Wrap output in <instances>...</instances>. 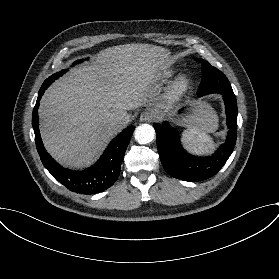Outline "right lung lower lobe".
<instances>
[{
    "label": "right lung lower lobe",
    "instance_id": "1",
    "mask_svg": "<svg viewBox=\"0 0 279 279\" xmlns=\"http://www.w3.org/2000/svg\"><path fill=\"white\" fill-rule=\"evenodd\" d=\"M48 86L49 85L46 84L45 81L40 88L32 114V126L35 133L36 148L43 165L54 178L72 192L90 195L106 190L115 183L119 176L121 163L134 127L129 126L114 138L98 162L90 168L83 171H72L63 168L44 148L38 128L39 101Z\"/></svg>",
    "mask_w": 279,
    "mask_h": 279
}]
</instances>
